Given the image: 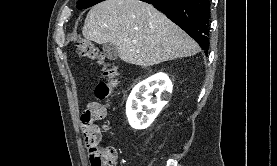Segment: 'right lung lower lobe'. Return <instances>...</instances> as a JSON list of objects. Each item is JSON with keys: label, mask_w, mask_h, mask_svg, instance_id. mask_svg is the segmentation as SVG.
Wrapping results in <instances>:
<instances>
[{"label": "right lung lower lobe", "mask_w": 277, "mask_h": 166, "mask_svg": "<svg viewBox=\"0 0 277 166\" xmlns=\"http://www.w3.org/2000/svg\"><path fill=\"white\" fill-rule=\"evenodd\" d=\"M152 4L187 32L208 54L210 0H141Z\"/></svg>", "instance_id": "1"}]
</instances>
